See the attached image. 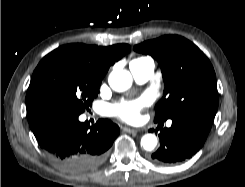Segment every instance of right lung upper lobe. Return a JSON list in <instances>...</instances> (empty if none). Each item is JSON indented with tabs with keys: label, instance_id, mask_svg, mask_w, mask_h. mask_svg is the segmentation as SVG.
Masks as SVG:
<instances>
[{
	"label": "right lung upper lobe",
	"instance_id": "cb5924a9",
	"mask_svg": "<svg viewBox=\"0 0 245 187\" xmlns=\"http://www.w3.org/2000/svg\"><path fill=\"white\" fill-rule=\"evenodd\" d=\"M63 47L79 51L92 66L95 73L102 78L108 71L109 66L121 59L130 50V46L127 44H117L109 47L69 44Z\"/></svg>",
	"mask_w": 245,
	"mask_h": 187
}]
</instances>
